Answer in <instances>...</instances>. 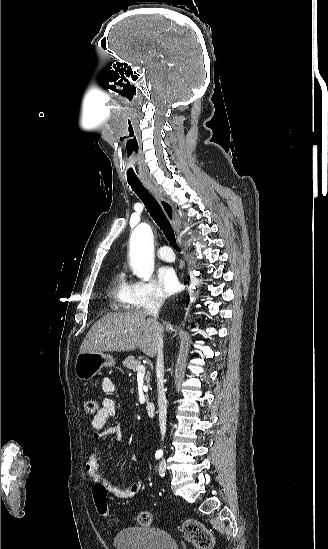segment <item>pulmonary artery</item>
I'll return each mask as SVG.
<instances>
[{
	"mask_svg": "<svg viewBox=\"0 0 328 549\" xmlns=\"http://www.w3.org/2000/svg\"><path fill=\"white\" fill-rule=\"evenodd\" d=\"M157 255L160 259L170 262L174 260V254L170 250H159Z\"/></svg>",
	"mask_w": 328,
	"mask_h": 549,
	"instance_id": "obj_1",
	"label": "pulmonary artery"
}]
</instances>
